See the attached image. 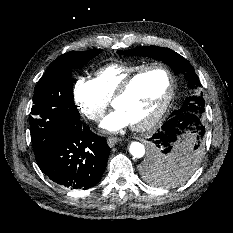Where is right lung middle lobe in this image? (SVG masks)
Returning a JSON list of instances; mask_svg holds the SVG:
<instances>
[{
	"label": "right lung middle lobe",
	"mask_w": 233,
	"mask_h": 233,
	"mask_svg": "<svg viewBox=\"0 0 233 233\" xmlns=\"http://www.w3.org/2000/svg\"><path fill=\"white\" fill-rule=\"evenodd\" d=\"M101 49L69 52L54 60L34 91L30 116L31 141L40 163L55 136L66 124L80 121L73 101L71 69L80 68Z\"/></svg>",
	"instance_id": "dd1d6c3e"
}]
</instances>
